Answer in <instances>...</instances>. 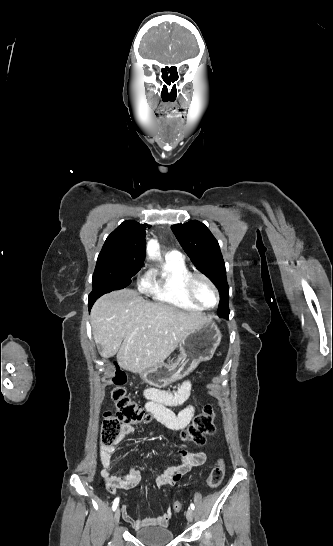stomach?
Wrapping results in <instances>:
<instances>
[{
	"mask_svg": "<svg viewBox=\"0 0 333 546\" xmlns=\"http://www.w3.org/2000/svg\"><path fill=\"white\" fill-rule=\"evenodd\" d=\"M221 341L218 325L208 319L203 325L192 330L180 343V356L174 363H160L146 369L141 378L157 388L181 380L190 374L201 362L210 360Z\"/></svg>",
	"mask_w": 333,
	"mask_h": 546,
	"instance_id": "0dacf381",
	"label": "stomach"
}]
</instances>
